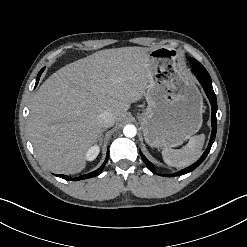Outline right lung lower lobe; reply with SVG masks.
I'll list each match as a JSON object with an SVG mask.
<instances>
[{
	"instance_id": "1",
	"label": "right lung lower lobe",
	"mask_w": 247,
	"mask_h": 247,
	"mask_svg": "<svg viewBox=\"0 0 247 247\" xmlns=\"http://www.w3.org/2000/svg\"><path fill=\"white\" fill-rule=\"evenodd\" d=\"M43 70H44V68L41 69V71L39 72V74H38V76H37L36 85H37L38 82H39V79H40V76H41ZM36 85H35V86H36ZM108 155H109V152H107V157H106L104 163L101 165V167H100L99 169H97V170H95V171L89 173V174H85V175H82V176L77 177V178H71V177H69V176L62 175V174H58V175H56V176H58V177H60V178H63V179H65V180H83V179L95 177V176L99 175V174L103 171V168H104V166H105V164H106V162H107V160H108Z\"/></svg>"
}]
</instances>
